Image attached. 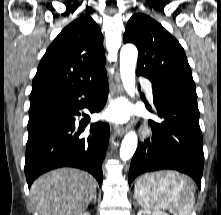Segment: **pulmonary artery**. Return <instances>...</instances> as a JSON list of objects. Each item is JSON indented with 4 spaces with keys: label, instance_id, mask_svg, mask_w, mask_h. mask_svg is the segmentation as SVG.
Masks as SVG:
<instances>
[{
    "label": "pulmonary artery",
    "instance_id": "obj_1",
    "mask_svg": "<svg viewBox=\"0 0 221 215\" xmlns=\"http://www.w3.org/2000/svg\"><path fill=\"white\" fill-rule=\"evenodd\" d=\"M140 82L143 84L148 98L152 101L153 100V90H152V84L149 80L140 78Z\"/></svg>",
    "mask_w": 221,
    "mask_h": 215
}]
</instances>
